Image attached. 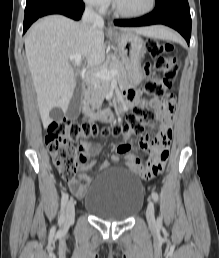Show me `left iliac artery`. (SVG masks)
<instances>
[{"label":"left iliac artery","instance_id":"left-iliac-artery-1","mask_svg":"<svg viewBox=\"0 0 219 258\" xmlns=\"http://www.w3.org/2000/svg\"><path fill=\"white\" fill-rule=\"evenodd\" d=\"M151 196H152V198H153V200H154L155 202L158 201L159 196H158V193H157V192L152 191Z\"/></svg>","mask_w":219,"mask_h":258}]
</instances>
